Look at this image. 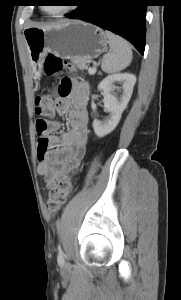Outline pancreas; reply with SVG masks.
<instances>
[{"label": "pancreas", "instance_id": "obj_1", "mask_svg": "<svg viewBox=\"0 0 181 300\" xmlns=\"http://www.w3.org/2000/svg\"><path fill=\"white\" fill-rule=\"evenodd\" d=\"M73 64L77 66V68L79 69H84L85 67V63L79 61V60H72Z\"/></svg>", "mask_w": 181, "mask_h": 300}]
</instances>
